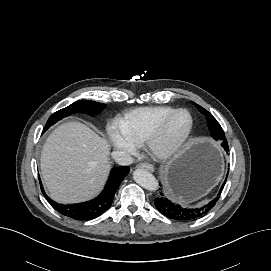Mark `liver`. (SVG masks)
I'll list each match as a JSON object with an SVG mask.
<instances>
[{
    "label": "liver",
    "mask_w": 271,
    "mask_h": 271,
    "mask_svg": "<svg viewBox=\"0 0 271 271\" xmlns=\"http://www.w3.org/2000/svg\"><path fill=\"white\" fill-rule=\"evenodd\" d=\"M107 140L79 122L58 126L41 153V171L50 197L77 203L95 196L105 184L111 165Z\"/></svg>",
    "instance_id": "6515ba94"
}]
</instances>
